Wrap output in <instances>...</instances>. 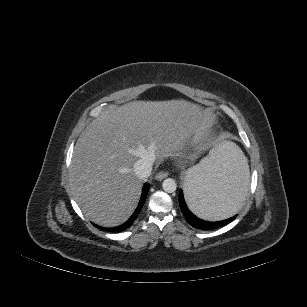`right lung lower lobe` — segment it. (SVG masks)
I'll return each mask as SVG.
<instances>
[{
  "label": "right lung lower lobe",
  "mask_w": 307,
  "mask_h": 307,
  "mask_svg": "<svg viewBox=\"0 0 307 307\" xmlns=\"http://www.w3.org/2000/svg\"><path fill=\"white\" fill-rule=\"evenodd\" d=\"M149 187H150L149 183H146L143 186L140 202H139L135 212L132 214V216L124 224H122L118 227H114V228H104V227H99V226H97V227L102 229V230L109 231V232H121V231H124L127 228H129L132 225V223L134 222V220L136 219V217L138 216V214L140 213V211H141V209L144 205Z\"/></svg>",
  "instance_id": "right-lung-lower-lobe-1"
}]
</instances>
